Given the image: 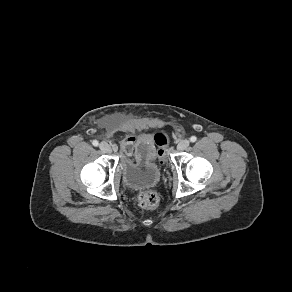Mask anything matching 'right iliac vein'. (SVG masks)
Segmentation results:
<instances>
[{"mask_svg":"<svg viewBox=\"0 0 292 292\" xmlns=\"http://www.w3.org/2000/svg\"><path fill=\"white\" fill-rule=\"evenodd\" d=\"M99 148L104 153H111V147L106 142H101Z\"/></svg>","mask_w":292,"mask_h":292,"instance_id":"obj_1","label":"right iliac vein"}]
</instances>
